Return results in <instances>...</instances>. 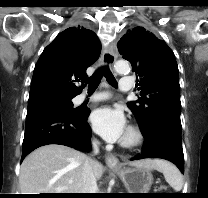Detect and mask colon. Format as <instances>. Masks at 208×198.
I'll return each mask as SVG.
<instances>
[{
  "label": "colon",
  "mask_w": 208,
  "mask_h": 198,
  "mask_svg": "<svg viewBox=\"0 0 208 198\" xmlns=\"http://www.w3.org/2000/svg\"><path fill=\"white\" fill-rule=\"evenodd\" d=\"M158 190L162 191V190H166V187L165 186H161L158 188Z\"/></svg>",
  "instance_id": "obj_1"
}]
</instances>
